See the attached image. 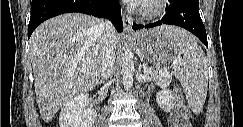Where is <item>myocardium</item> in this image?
I'll list each match as a JSON object with an SVG mask.
<instances>
[{"instance_id": "f54148a6", "label": "myocardium", "mask_w": 243, "mask_h": 127, "mask_svg": "<svg viewBox=\"0 0 243 127\" xmlns=\"http://www.w3.org/2000/svg\"><path fill=\"white\" fill-rule=\"evenodd\" d=\"M166 0H147L139 7V13L144 18H153L160 15L165 6Z\"/></svg>"}]
</instances>
